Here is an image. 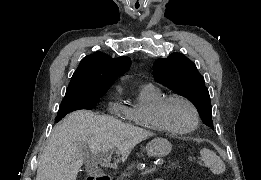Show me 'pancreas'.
Masks as SVG:
<instances>
[{"label": "pancreas", "mask_w": 261, "mask_h": 180, "mask_svg": "<svg viewBox=\"0 0 261 180\" xmlns=\"http://www.w3.org/2000/svg\"><path fill=\"white\" fill-rule=\"evenodd\" d=\"M137 164H140V159H133L132 162L129 163L127 169H123V171L119 172V175L121 176V180H124V178H127V176H131V174L134 173L135 166ZM164 166H161V169L164 170H178L180 169V166H182V163H180V160L178 159H165ZM135 177H139V174H135Z\"/></svg>", "instance_id": "1"}]
</instances>
